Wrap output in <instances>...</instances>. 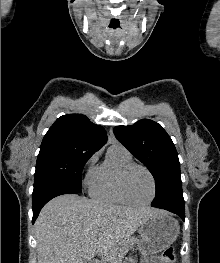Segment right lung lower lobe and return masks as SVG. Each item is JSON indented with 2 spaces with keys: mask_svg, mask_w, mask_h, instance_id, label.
Listing matches in <instances>:
<instances>
[{
  "mask_svg": "<svg viewBox=\"0 0 220 263\" xmlns=\"http://www.w3.org/2000/svg\"><path fill=\"white\" fill-rule=\"evenodd\" d=\"M81 189L70 188L65 186H47L44 187L32 194L33 200V219L32 223L34 224L41 208L52 198L62 195V194H77L80 193Z\"/></svg>",
  "mask_w": 220,
  "mask_h": 263,
  "instance_id": "1",
  "label": "right lung lower lobe"
}]
</instances>
